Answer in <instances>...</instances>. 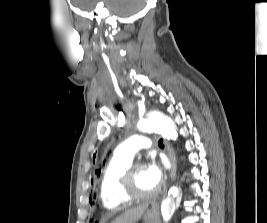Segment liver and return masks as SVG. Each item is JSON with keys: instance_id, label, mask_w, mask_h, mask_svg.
Returning <instances> with one entry per match:
<instances>
[{"instance_id": "6515ba94", "label": "liver", "mask_w": 267, "mask_h": 223, "mask_svg": "<svg viewBox=\"0 0 267 223\" xmlns=\"http://www.w3.org/2000/svg\"><path fill=\"white\" fill-rule=\"evenodd\" d=\"M148 204H143L135 208L125 211L122 215L116 218L112 223H135L142 217Z\"/></svg>"}]
</instances>
